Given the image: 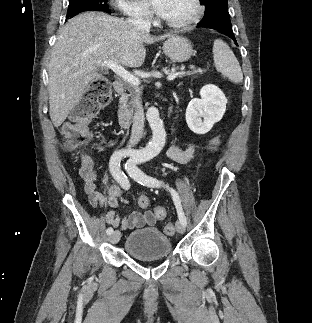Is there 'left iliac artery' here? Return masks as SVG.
Returning a JSON list of instances; mask_svg holds the SVG:
<instances>
[{"mask_svg": "<svg viewBox=\"0 0 312 323\" xmlns=\"http://www.w3.org/2000/svg\"><path fill=\"white\" fill-rule=\"evenodd\" d=\"M135 161H136V164L141 163V162H145L146 158H138V159H135ZM126 169H127L128 173H129L130 177H132L134 180H136L138 183H140V184H142L144 186H148V187H161V186H163V183L160 180H158L155 177L146 175L145 173H143L140 169H138L135 166L128 167ZM166 187L171 192L174 204H175L176 209H177L179 220L183 223V225H186L187 220H186L185 214H184V212L182 210V205H181V201H180L178 193L174 189L169 188V186H166Z\"/></svg>", "mask_w": 312, "mask_h": 323, "instance_id": "1", "label": "left iliac artery"}]
</instances>
